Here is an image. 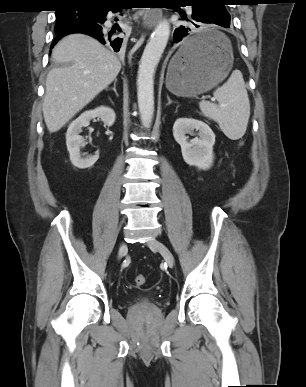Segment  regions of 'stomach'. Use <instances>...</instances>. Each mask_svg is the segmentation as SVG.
<instances>
[{
    "instance_id": "0dacf381",
    "label": "stomach",
    "mask_w": 306,
    "mask_h": 387,
    "mask_svg": "<svg viewBox=\"0 0 306 387\" xmlns=\"http://www.w3.org/2000/svg\"><path fill=\"white\" fill-rule=\"evenodd\" d=\"M205 32H200L192 38H198ZM211 32L214 42L208 53L188 60L183 58L180 49L171 59L166 86L173 94L194 97L209 91L228 75L233 66L230 41L222 33Z\"/></svg>"
}]
</instances>
